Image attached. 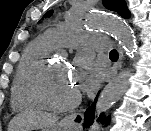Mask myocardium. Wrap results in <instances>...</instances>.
<instances>
[{"mask_svg":"<svg viewBox=\"0 0 151 131\" xmlns=\"http://www.w3.org/2000/svg\"><path fill=\"white\" fill-rule=\"evenodd\" d=\"M52 71L53 64L46 62L37 74L33 82V94L36 101L38 102L39 106L55 112H62L73 109L79 104L81 100L79 93L62 102H54L47 96L45 84Z\"/></svg>","mask_w":151,"mask_h":131,"instance_id":"myocardium-1","label":"myocardium"}]
</instances>
